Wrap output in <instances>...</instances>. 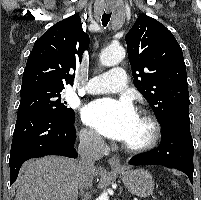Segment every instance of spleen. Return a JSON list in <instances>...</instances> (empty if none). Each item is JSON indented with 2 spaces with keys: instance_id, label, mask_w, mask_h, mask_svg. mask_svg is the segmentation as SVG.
<instances>
[{
  "instance_id": "spleen-1",
  "label": "spleen",
  "mask_w": 201,
  "mask_h": 200,
  "mask_svg": "<svg viewBox=\"0 0 201 200\" xmlns=\"http://www.w3.org/2000/svg\"><path fill=\"white\" fill-rule=\"evenodd\" d=\"M173 185H175V186L177 185V187H178V184L175 181H173Z\"/></svg>"
}]
</instances>
